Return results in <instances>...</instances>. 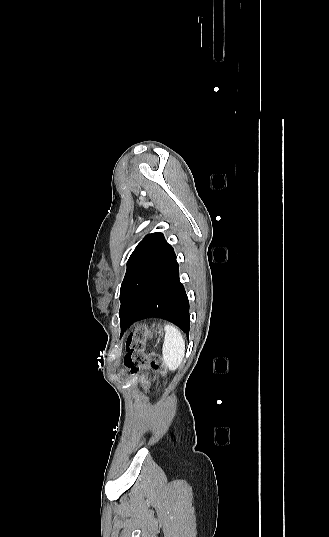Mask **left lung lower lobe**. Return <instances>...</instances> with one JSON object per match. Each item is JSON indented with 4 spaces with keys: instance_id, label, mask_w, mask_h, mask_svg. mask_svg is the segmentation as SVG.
I'll use <instances>...</instances> for the list:
<instances>
[{
    "instance_id": "1",
    "label": "left lung lower lobe",
    "mask_w": 329,
    "mask_h": 537,
    "mask_svg": "<svg viewBox=\"0 0 329 537\" xmlns=\"http://www.w3.org/2000/svg\"><path fill=\"white\" fill-rule=\"evenodd\" d=\"M152 317L166 319L189 335V301L179 280L176 257L156 275L137 304L120 321L121 334L131 324Z\"/></svg>"
}]
</instances>
